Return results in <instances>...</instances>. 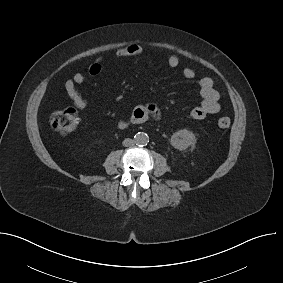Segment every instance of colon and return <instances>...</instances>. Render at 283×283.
Here are the masks:
<instances>
[{"label":"colon","instance_id":"1","mask_svg":"<svg viewBox=\"0 0 283 283\" xmlns=\"http://www.w3.org/2000/svg\"><path fill=\"white\" fill-rule=\"evenodd\" d=\"M79 123V116L74 108H64L54 111L50 116V124L54 130L61 134L72 133ZM218 126L227 129L231 125V119L222 116L218 119Z\"/></svg>","mask_w":283,"mask_h":283}]
</instances>
